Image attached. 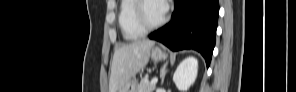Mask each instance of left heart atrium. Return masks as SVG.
<instances>
[{"label":"left heart atrium","mask_w":296,"mask_h":92,"mask_svg":"<svg viewBox=\"0 0 296 92\" xmlns=\"http://www.w3.org/2000/svg\"><path fill=\"white\" fill-rule=\"evenodd\" d=\"M161 9L163 13L165 14V11L167 10V3L165 1L161 2Z\"/></svg>","instance_id":"left-heart-atrium-1"}]
</instances>
